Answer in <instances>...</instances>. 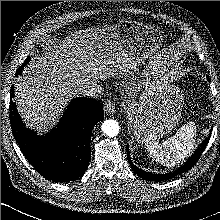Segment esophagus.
Masks as SVG:
<instances>
[{
	"mask_svg": "<svg viewBox=\"0 0 220 220\" xmlns=\"http://www.w3.org/2000/svg\"><path fill=\"white\" fill-rule=\"evenodd\" d=\"M103 107H104V111L108 115L113 114L115 112V104L111 99L105 101Z\"/></svg>",
	"mask_w": 220,
	"mask_h": 220,
	"instance_id": "esophagus-1",
	"label": "esophagus"
}]
</instances>
